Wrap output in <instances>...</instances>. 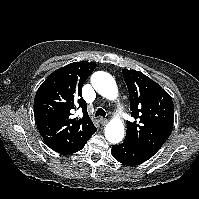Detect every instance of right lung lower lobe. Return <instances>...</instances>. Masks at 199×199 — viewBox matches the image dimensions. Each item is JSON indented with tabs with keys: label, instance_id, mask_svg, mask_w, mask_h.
Wrapping results in <instances>:
<instances>
[{
	"label": "right lung lower lobe",
	"instance_id": "98d812e1",
	"mask_svg": "<svg viewBox=\"0 0 199 199\" xmlns=\"http://www.w3.org/2000/svg\"><path fill=\"white\" fill-rule=\"evenodd\" d=\"M96 131V130H95ZM95 133V132H94ZM93 135V134H92ZM91 135V136H92ZM90 136V137H91ZM89 137V138H90ZM88 138V139H89ZM88 139H86L85 141L75 145V146H72V147H69V148H62V147H50L52 150L58 152V153H61V154H64V155H68V154H72V153H75L79 150H81L84 145L86 144V142L88 141Z\"/></svg>",
	"mask_w": 199,
	"mask_h": 199
}]
</instances>
